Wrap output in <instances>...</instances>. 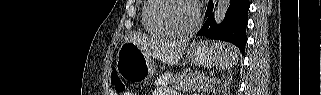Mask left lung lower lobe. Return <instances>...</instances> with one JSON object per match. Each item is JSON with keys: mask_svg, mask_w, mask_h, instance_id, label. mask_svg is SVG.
I'll return each instance as SVG.
<instances>
[{"mask_svg": "<svg viewBox=\"0 0 321 95\" xmlns=\"http://www.w3.org/2000/svg\"><path fill=\"white\" fill-rule=\"evenodd\" d=\"M213 6V2L210 0L205 13L208 19L197 36L230 42L239 47L243 53L247 42L249 0H231L224 21L220 25H216L214 21Z\"/></svg>", "mask_w": 321, "mask_h": 95, "instance_id": "0a47b994", "label": "left lung lower lobe"}]
</instances>
